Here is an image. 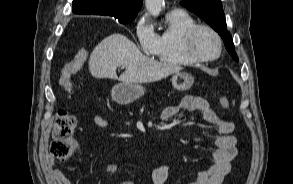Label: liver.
Instances as JSON below:
<instances>
[{"mask_svg": "<svg viewBox=\"0 0 293 184\" xmlns=\"http://www.w3.org/2000/svg\"><path fill=\"white\" fill-rule=\"evenodd\" d=\"M88 65L95 78L130 83L154 82L182 70L180 66L146 57L130 39L119 33L106 37L94 48ZM120 66L126 70L118 78L116 69Z\"/></svg>", "mask_w": 293, "mask_h": 184, "instance_id": "obj_1", "label": "liver"}]
</instances>
